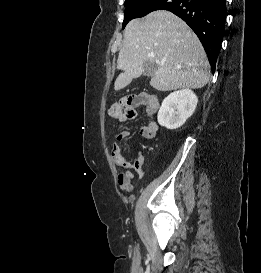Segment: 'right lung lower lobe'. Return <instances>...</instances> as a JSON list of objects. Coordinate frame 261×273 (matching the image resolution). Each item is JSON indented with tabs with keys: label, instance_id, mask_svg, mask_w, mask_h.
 Instances as JSON below:
<instances>
[{
	"label": "right lung lower lobe",
	"instance_id": "obj_1",
	"mask_svg": "<svg viewBox=\"0 0 261 273\" xmlns=\"http://www.w3.org/2000/svg\"><path fill=\"white\" fill-rule=\"evenodd\" d=\"M139 9L144 16L164 9L182 18L199 37L215 71L224 35L226 0H152Z\"/></svg>",
	"mask_w": 261,
	"mask_h": 273
}]
</instances>
